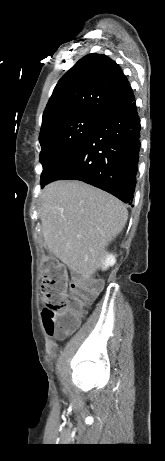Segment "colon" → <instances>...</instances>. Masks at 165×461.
<instances>
[{
	"label": "colon",
	"instance_id": "obj_1",
	"mask_svg": "<svg viewBox=\"0 0 165 461\" xmlns=\"http://www.w3.org/2000/svg\"><path fill=\"white\" fill-rule=\"evenodd\" d=\"M41 274L45 329L54 338H66L79 326L84 308L96 297L100 283L70 280L66 267L51 256L42 261Z\"/></svg>",
	"mask_w": 165,
	"mask_h": 461
}]
</instances>
